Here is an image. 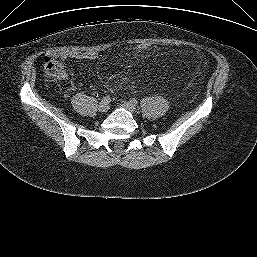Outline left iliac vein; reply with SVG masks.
Listing matches in <instances>:
<instances>
[{"label":"left iliac vein","instance_id":"4c4485c4","mask_svg":"<svg viewBox=\"0 0 257 257\" xmlns=\"http://www.w3.org/2000/svg\"><path fill=\"white\" fill-rule=\"evenodd\" d=\"M122 107L130 111L131 113H134L136 111L135 105H133L131 102L123 101Z\"/></svg>","mask_w":257,"mask_h":257}]
</instances>
